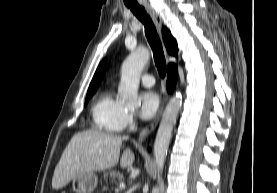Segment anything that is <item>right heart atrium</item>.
Masks as SVG:
<instances>
[{
    "mask_svg": "<svg viewBox=\"0 0 277 193\" xmlns=\"http://www.w3.org/2000/svg\"><path fill=\"white\" fill-rule=\"evenodd\" d=\"M135 123V116L133 112L124 109L122 115V129L132 127Z\"/></svg>",
    "mask_w": 277,
    "mask_h": 193,
    "instance_id": "d8ad5b80",
    "label": "right heart atrium"
}]
</instances>
